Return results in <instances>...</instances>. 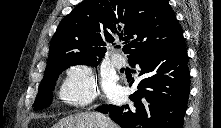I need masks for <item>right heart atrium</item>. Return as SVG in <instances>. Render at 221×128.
Here are the masks:
<instances>
[{"mask_svg": "<svg viewBox=\"0 0 221 128\" xmlns=\"http://www.w3.org/2000/svg\"><path fill=\"white\" fill-rule=\"evenodd\" d=\"M97 95L93 70L85 63H74L67 67L60 86L63 102L80 106L92 102Z\"/></svg>", "mask_w": 221, "mask_h": 128, "instance_id": "obj_1", "label": "right heart atrium"}]
</instances>
